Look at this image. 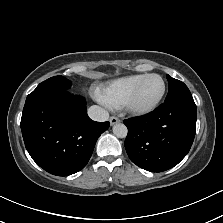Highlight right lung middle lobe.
Listing matches in <instances>:
<instances>
[{"label":"right lung middle lobe","mask_w":223,"mask_h":223,"mask_svg":"<svg viewBox=\"0 0 223 223\" xmlns=\"http://www.w3.org/2000/svg\"><path fill=\"white\" fill-rule=\"evenodd\" d=\"M71 86V82L64 76H54L41 82L36 89L27 96V99L36 98L52 92L66 91Z\"/></svg>","instance_id":"obj_1"}]
</instances>
